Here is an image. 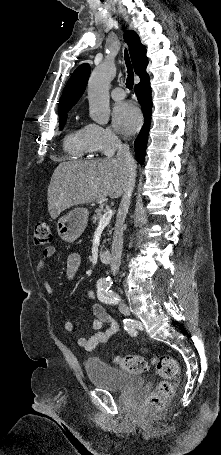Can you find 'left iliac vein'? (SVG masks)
I'll list each match as a JSON object with an SVG mask.
<instances>
[{
  "instance_id": "left-iliac-vein-1",
  "label": "left iliac vein",
  "mask_w": 221,
  "mask_h": 455,
  "mask_svg": "<svg viewBox=\"0 0 221 455\" xmlns=\"http://www.w3.org/2000/svg\"><path fill=\"white\" fill-rule=\"evenodd\" d=\"M119 310L122 314H124L125 316H129L130 315V310L128 308L127 305H125L124 303L120 302L119 304Z\"/></svg>"
}]
</instances>
